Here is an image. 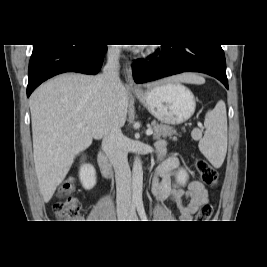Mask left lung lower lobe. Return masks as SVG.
Listing matches in <instances>:
<instances>
[{"label":"left lung lower lobe","mask_w":267,"mask_h":267,"mask_svg":"<svg viewBox=\"0 0 267 267\" xmlns=\"http://www.w3.org/2000/svg\"><path fill=\"white\" fill-rule=\"evenodd\" d=\"M149 62H134L136 83H146L182 72H201L220 80L228 89L226 61L221 45H162L148 57Z\"/></svg>","instance_id":"obj_1"}]
</instances>
